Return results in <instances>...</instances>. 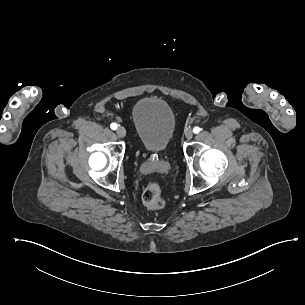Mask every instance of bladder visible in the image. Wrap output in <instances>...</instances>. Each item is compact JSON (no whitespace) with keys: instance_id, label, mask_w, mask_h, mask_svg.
Wrapping results in <instances>:
<instances>
[{"instance_id":"obj_1","label":"bladder","mask_w":305,"mask_h":305,"mask_svg":"<svg viewBox=\"0 0 305 305\" xmlns=\"http://www.w3.org/2000/svg\"><path fill=\"white\" fill-rule=\"evenodd\" d=\"M131 119L140 146L154 152L166 150L175 131L174 109L167 100L156 95L142 96L131 108Z\"/></svg>"}]
</instances>
